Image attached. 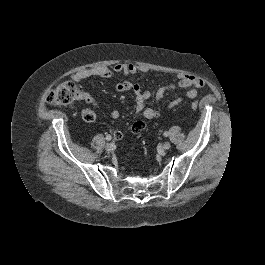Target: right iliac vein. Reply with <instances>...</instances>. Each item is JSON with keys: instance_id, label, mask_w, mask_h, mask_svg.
<instances>
[{"instance_id": "63e3f726", "label": "right iliac vein", "mask_w": 265, "mask_h": 265, "mask_svg": "<svg viewBox=\"0 0 265 265\" xmlns=\"http://www.w3.org/2000/svg\"><path fill=\"white\" fill-rule=\"evenodd\" d=\"M105 149H106L107 152H111V151L113 150V146H112V144L107 143V144L105 145Z\"/></svg>"}]
</instances>
